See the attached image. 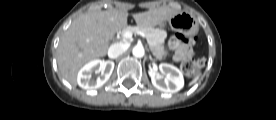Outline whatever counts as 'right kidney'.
<instances>
[{
    "label": "right kidney",
    "instance_id": "obj_1",
    "mask_svg": "<svg viewBox=\"0 0 276 120\" xmlns=\"http://www.w3.org/2000/svg\"><path fill=\"white\" fill-rule=\"evenodd\" d=\"M114 69V62L96 59L85 64L78 72V85L88 91L95 90L104 85L110 78ZM101 72L96 80L92 79L93 73Z\"/></svg>",
    "mask_w": 276,
    "mask_h": 120
}]
</instances>
